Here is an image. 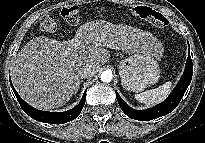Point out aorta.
Here are the masks:
<instances>
[{"label": "aorta", "instance_id": "762f6f07", "mask_svg": "<svg viewBox=\"0 0 205 143\" xmlns=\"http://www.w3.org/2000/svg\"><path fill=\"white\" fill-rule=\"evenodd\" d=\"M113 79V74L111 71L106 70L101 73V81L108 83L111 82Z\"/></svg>", "mask_w": 205, "mask_h": 143}]
</instances>
